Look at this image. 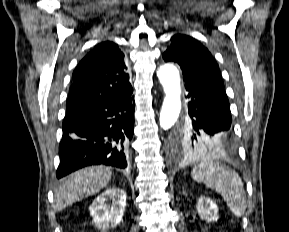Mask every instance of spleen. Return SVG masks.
<instances>
[{
    "label": "spleen",
    "instance_id": "spleen-1",
    "mask_svg": "<svg viewBox=\"0 0 289 232\" xmlns=\"http://www.w3.org/2000/svg\"><path fill=\"white\" fill-rule=\"evenodd\" d=\"M194 180L219 193L236 217L246 210V196L243 182L234 170L219 161L202 160L191 172Z\"/></svg>",
    "mask_w": 289,
    "mask_h": 232
}]
</instances>
